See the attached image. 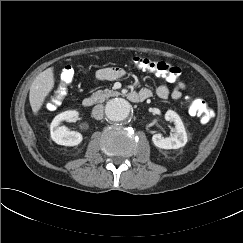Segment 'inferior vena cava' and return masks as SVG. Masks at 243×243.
Masks as SVG:
<instances>
[{"label":"inferior vena cava","mask_w":243,"mask_h":243,"mask_svg":"<svg viewBox=\"0 0 243 243\" xmlns=\"http://www.w3.org/2000/svg\"><path fill=\"white\" fill-rule=\"evenodd\" d=\"M92 115L95 119L101 120L103 118V115H104L103 105L99 104V105L94 106V108L92 110Z\"/></svg>","instance_id":"obj_1"}]
</instances>
